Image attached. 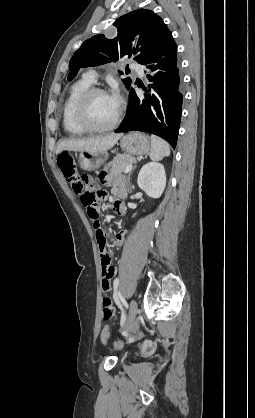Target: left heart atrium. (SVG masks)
Instances as JSON below:
<instances>
[{
  "label": "left heart atrium",
  "mask_w": 255,
  "mask_h": 418,
  "mask_svg": "<svg viewBox=\"0 0 255 418\" xmlns=\"http://www.w3.org/2000/svg\"><path fill=\"white\" fill-rule=\"evenodd\" d=\"M110 100L112 101L113 105L119 109L120 105H121V97L119 95V93L117 91L112 92L110 95Z\"/></svg>",
  "instance_id": "left-heart-atrium-1"
}]
</instances>
